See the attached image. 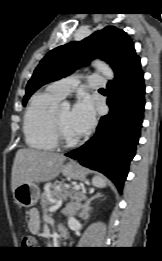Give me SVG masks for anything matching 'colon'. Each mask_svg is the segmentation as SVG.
Listing matches in <instances>:
<instances>
[{"mask_svg": "<svg viewBox=\"0 0 162 261\" xmlns=\"http://www.w3.org/2000/svg\"><path fill=\"white\" fill-rule=\"evenodd\" d=\"M22 245L24 247H35L37 242L33 237H25L22 241Z\"/></svg>", "mask_w": 162, "mask_h": 261, "instance_id": "colon-1", "label": "colon"}]
</instances>
